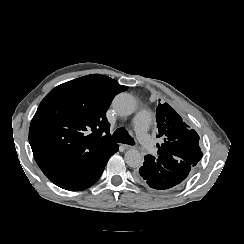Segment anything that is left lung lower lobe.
Returning a JSON list of instances; mask_svg holds the SVG:
<instances>
[{"label":"left lung lower lobe","instance_id":"0a47b994","mask_svg":"<svg viewBox=\"0 0 244 244\" xmlns=\"http://www.w3.org/2000/svg\"><path fill=\"white\" fill-rule=\"evenodd\" d=\"M192 167L171 155H158L156 158L146 155L144 165L136 173V179L154 189H168L181 183Z\"/></svg>","mask_w":244,"mask_h":244}]
</instances>
